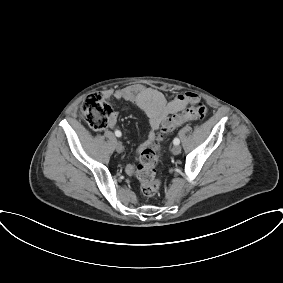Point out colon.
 Returning a JSON list of instances; mask_svg holds the SVG:
<instances>
[{
  "label": "colon",
  "mask_w": 283,
  "mask_h": 283,
  "mask_svg": "<svg viewBox=\"0 0 283 283\" xmlns=\"http://www.w3.org/2000/svg\"><path fill=\"white\" fill-rule=\"evenodd\" d=\"M207 107L201 102H194L183 112L174 114L167 118L158 138L173 131L175 128L188 120L203 119L207 114ZM112 107L99 93L87 95L81 103L79 117L95 130L107 127L112 115ZM158 144L141 151L139 163L136 168V177L140 184L141 193L146 197L156 195L160 188V180L156 175L158 165Z\"/></svg>",
  "instance_id": "obj_1"
}]
</instances>
